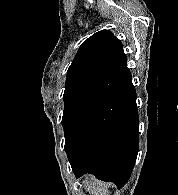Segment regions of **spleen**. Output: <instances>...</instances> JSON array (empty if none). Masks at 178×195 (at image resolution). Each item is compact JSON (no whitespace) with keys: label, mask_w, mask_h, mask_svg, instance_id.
<instances>
[{"label":"spleen","mask_w":178,"mask_h":195,"mask_svg":"<svg viewBox=\"0 0 178 195\" xmlns=\"http://www.w3.org/2000/svg\"><path fill=\"white\" fill-rule=\"evenodd\" d=\"M86 188L91 190L94 195H110L108 184L101 183L95 178H90L85 181Z\"/></svg>","instance_id":"3e777b00"}]
</instances>
